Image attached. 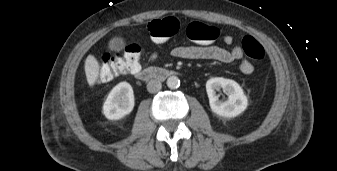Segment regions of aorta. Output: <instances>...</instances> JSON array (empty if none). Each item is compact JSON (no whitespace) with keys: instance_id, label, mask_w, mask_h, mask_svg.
Returning <instances> with one entry per match:
<instances>
[{"instance_id":"1","label":"aorta","mask_w":337,"mask_h":171,"mask_svg":"<svg viewBox=\"0 0 337 171\" xmlns=\"http://www.w3.org/2000/svg\"><path fill=\"white\" fill-rule=\"evenodd\" d=\"M167 86L170 89H177L180 86V80L177 76H170L167 79Z\"/></svg>"}]
</instances>
